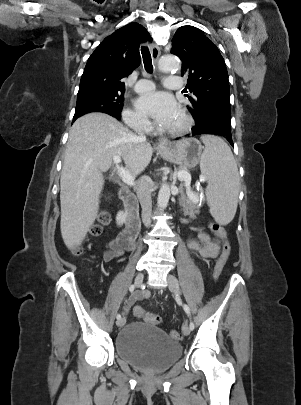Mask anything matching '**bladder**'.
Returning a JSON list of instances; mask_svg holds the SVG:
<instances>
[{"mask_svg": "<svg viewBox=\"0 0 301 405\" xmlns=\"http://www.w3.org/2000/svg\"><path fill=\"white\" fill-rule=\"evenodd\" d=\"M117 355L130 365L143 371H165L180 357V343L163 330L143 322L124 326L115 338Z\"/></svg>", "mask_w": 301, "mask_h": 405, "instance_id": "31cf9c89", "label": "bladder"}]
</instances>
